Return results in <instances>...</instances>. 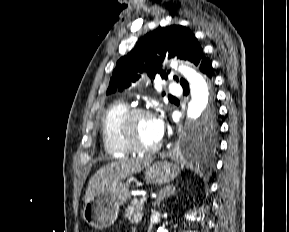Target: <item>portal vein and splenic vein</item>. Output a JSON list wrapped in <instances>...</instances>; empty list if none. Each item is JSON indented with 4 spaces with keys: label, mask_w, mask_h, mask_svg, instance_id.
Segmentation results:
<instances>
[{
    "label": "portal vein and splenic vein",
    "mask_w": 289,
    "mask_h": 232,
    "mask_svg": "<svg viewBox=\"0 0 289 232\" xmlns=\"http://www.w3.org/2000/svg\"><path fill=\"white\" fill-rule=\"evenodd\" d=\"M146 197H142L141 199H140V201L142 202V203H144V202H146Z\"/></svg>",
    "instance_id": "portal-vein-and-splenic-vein-1"
}]
</instances>
